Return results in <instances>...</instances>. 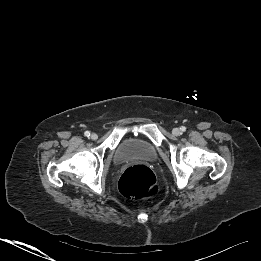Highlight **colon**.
<instances>
[{
  "label": "colon",
  "instance_id": "obj_1",
  "mask_svg": "<svg viewBox=\"0 0 261 261\" xmlns=\"http://www.w3.org/2000/svg\"><path fill=\"white\" fill-rule=\"evenodd\" d=\"M118 187L122 195L130 199H143L158 191L154 173L145 165L127 168L121 175Z\"/></svg>",
  "mask_w": 261,
  "mask_h": 261
}]
</instances>
